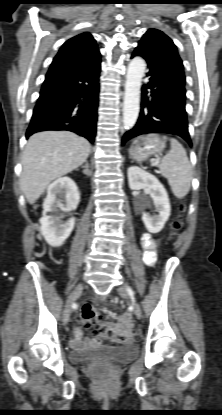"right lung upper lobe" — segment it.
<instances>
[{"label":"right lung upper lobe","mask_w":222,"mask_h":415,"mask_svg":"<svg viewBox=\"0 0 222 415\" xmlns=\"http://www.w3.org/2000/svg\"><path fill=\"white\" fill-rule=\"evenodd\" d=\"M100 56L90 33L79 34L66 41L53 61H85Z\"/></svg>","instance_id":"obj_1"}]
</instances>
